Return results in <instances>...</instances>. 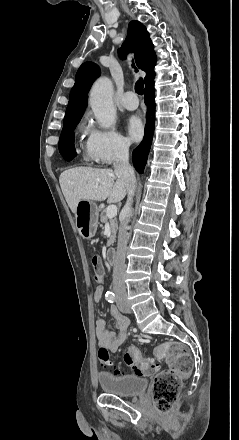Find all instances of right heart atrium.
<instances>
[{"instance_id":"obj_1","label":"right heart atrium","mask_w":239,"mask_h":440,"mask_svg":"<svg viewBox=\"0 0 239 440\" xmlns=\"http://www.w3.org/2000/svg\"><path fill=\"white\" fill-rule=\"evenodd\" d=\"M84 152L88 159L101 165H110L127 149L125 140L112 131L95 126L87 120Z\"/></svg>"}]
</instances>
